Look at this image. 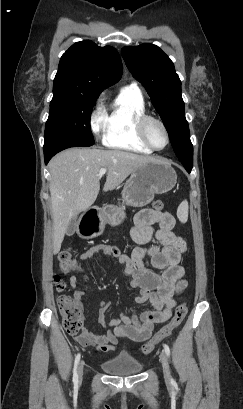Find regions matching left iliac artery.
Instances as JSON below:
<instances>
[{
	"mask_svg": "<svg viewBox=\"0 0 243 409\" xmlns=\"http://www.w3.org/2000/svg\"><path fill=\"white\" fill-rule=\"evenodd\" d=\"M163 347H164V350H165L166 355L169 357V356H170V348H169V346H168L167 344H164Z\"/></svg>",
	"mask_w": 243,
	"mask_h": 409,
	"instance_id": "1",
	"label": "left iliac artery"
}]
</instances>
